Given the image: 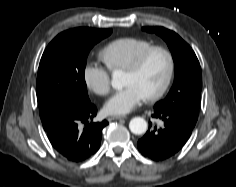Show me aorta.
<instances>
[{"label": "aorta", "mask_w": 236, "mask_h": 187, "mask_svg": "<svg viewBox=\"0 0 236 187\" xmlns=\"http://www.w3.org/2000/svg\"><path fill=\"white\" fill-rule=\"evenodd\" d=\"M112 87L115 89H122L123 87V73L121 71H114L111 80ZM148 124L142 117H134L129 123V129L133 134L141 135L147 131Z\"/></svg>", "instance_id": "762f6f07"}]
</instances>
